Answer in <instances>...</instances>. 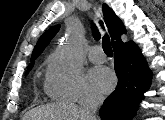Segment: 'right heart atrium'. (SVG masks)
Wrapping results in <instances>:
<instances>
[{"mask_svg": "<svg viewBox=\"0 0 165 120\" xmlns=\"http://www.w3.org/2000/svg\"><path fill=\"white\" fill-rule=\"evenodd\" d=\"M46 89L52 97L71 102H86L100 98L99 93L82 72L68 71L57 56L50 61Z\"/></svg>", "mask_w": 165, "mask_h": 120, "instance_id": "obj_1", "label": "right heart atrium"}]
</instances>
